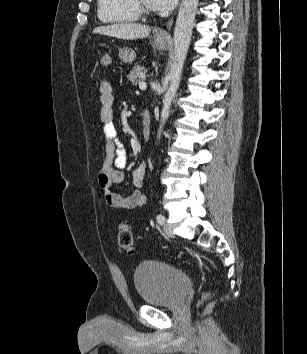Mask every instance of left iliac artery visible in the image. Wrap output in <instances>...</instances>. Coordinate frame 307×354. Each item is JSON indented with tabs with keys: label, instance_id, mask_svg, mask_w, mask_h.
<instances>
[{
	"label": "left iliac artery",
	"instance_id": "obj_1",
	"mask_svg": "<svg viewBox=\"0 0 307 354\" xmlns=\"http://www.w3.org/2000/svg\"><path fill=\"white\" fill-rule=\"evenodd\" d=\"M157 222H158L160 225H163L164 222H165V217H164L162 214H158V215H157Z\"/></svg>",
	"mask_w": 307,
	"mask_h": 354
}]
</instances>
